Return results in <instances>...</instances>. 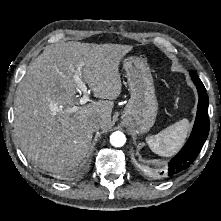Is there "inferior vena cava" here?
Returning <instances> with one entry per match:
<instances>
[{"label":"inferior vena cava","mask_w":221,"mask_h":221,"mask_svg":"<svg viewBox=\"0 0 221 221\" xmlns=\"http://www.w3.org/2000/svg\"><path fill=\"white\" fill-rule=\"evenodd\" d=\"M102 121L100 118L92 119L88 122L91 131L95 132L101 128Z\"/></svg>","instance_id":"602c4592"}]
</instances>
